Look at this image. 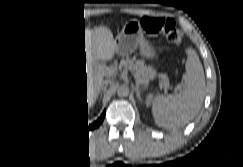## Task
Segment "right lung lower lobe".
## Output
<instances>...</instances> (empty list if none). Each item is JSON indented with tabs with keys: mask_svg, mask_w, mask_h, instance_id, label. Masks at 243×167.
<instances>
[{
	"mask_svg": "<svg viewBox=\"0 0 243 167\" xmlns=\"http://www.w3.org/2000/svg\"><path fill=\"white\" fill-rule=\"evenodd\" d=\"M61 98H58V105L54 103H50V112L55 114V116L59 119V130L58 133L75 138L77 136L88 134L90 130H93L99 127L102 124L104 117H105V110L101 114V116L96 120L94 123L88 125V105H87V89H86V110L85 114L82 119V124L78 125L76 120V107H77V100L75 96V88L72 81L67 80L66 83L62 86L61 90ZM45 100L43 96L38 101V111H39V118L43 120L45 116ZM48 106V105H47ZM58 106V107H57Z\"/></svg>",
	"mask_w": 243,
	"mask_h": 167,
	"instance_id": "1",
	"label": "right lung lower lobe"
}]
</instances>
